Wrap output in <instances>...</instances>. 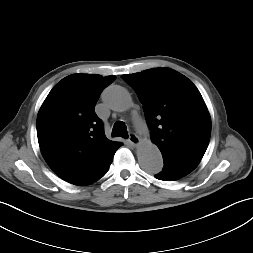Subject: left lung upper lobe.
<instances>
[{
	"label": "left lung upper lobe",
	"instance_id": "left-lung-upper-lobe-1",
	"mask_svg": "<svg viewBox=\"0 0 253 253\" xmlns=\"http://www.w3.org/2000/svg\"><path fill=\"white\" fill-rule=\"evenodd\" d=\"M143 105L151 141L163 159L198 165L211 134V119L196 86L170 68L121 76Z\"/></svg>",
	"mask_w": 253,
	"mask_h": 253
}]
</instances>
